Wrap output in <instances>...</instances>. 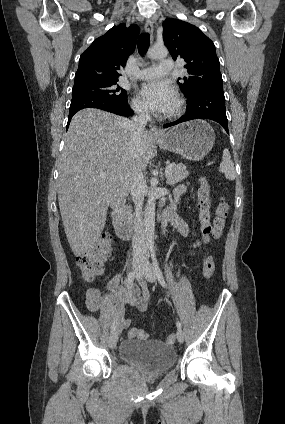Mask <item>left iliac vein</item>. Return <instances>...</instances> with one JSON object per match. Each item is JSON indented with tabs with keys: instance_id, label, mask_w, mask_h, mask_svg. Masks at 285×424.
Masks as SVG:
<instances>
[{
	"instance_id": "1",
	"label": "left iliac vein",
	"mask_w": 285,
	"mask_h": 424,
	"mask_svg": "<svg viewBox=\"0 0 285 424\" xmlns=\"http://www.w3.org/2000/svg\"><path fill=\"white\" fill-rule=\"evenodd\" d=\"M143 273L145 279L150 282L154 283L156 281V273L154 271L153 266L151 265L149 261V255L147 252L143 255ZM176 337L178 342L182 343L184 341V333L181 329H178L176 332Z\"/></svg>"
}]
</instances>
